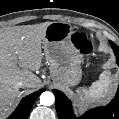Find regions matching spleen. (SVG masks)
Here are the masks:
<instances>
[{"label":"spleen","instance_id":"spleen-1","mask_svg":"<svg viewBox=\"0 0 119 119\" xmlns=\"http://www.w3.org/2000/svg\"><path fill=\"white\" fill-rule=\"evenodd\" d=\"M110 80L105 74H101L98 81L92 83L90 87L80 88L79 92L85 95L87 98L99 99L104 97L109 90Z\"/></svg>","mask_w":119,"mask_h":119}]
</instances>
